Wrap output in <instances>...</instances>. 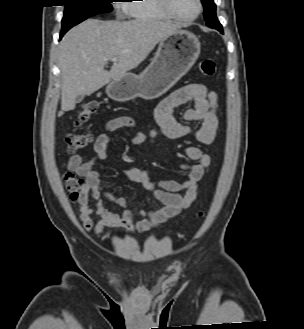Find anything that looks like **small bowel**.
I'll list each match as a JSON object with an SVG mask.
<instances>
[{
	"label": "small bowel",
	"instance_id": "1",
	"mask_svg": "<svg viewBox=\"0 0 304 329\" xmlns=\"http://www.w3.org/2000/svg\"><path fill=\"white\" fill-rule=\"evenodd\" d=\"M188 102H193L194 105L184 112L183 120L200 122L201 125L198 128H192L178 121L173 115L175 107ZM154 115L159 129L152 131L149 135L138 132L129 136L133 144H152L158 132H161L169 138L191 137L200 144L208 145L214 141L218 128L217 94L205 85L189 84L164 98L156 107ZM133 126L134 122L129 117L110 120L106 124L107 132L96 139L95 155L92 158L83 161L79 155H72L69 160V168L85 178L77 200L80 221L86 230H93L97 237L103 234L105 228L120 227L133 234L148 231L173 218L195 200L204 171L211 163L208 154L196 146H189L185 152L191 162L180 165L187 175L185 180L163 179L158 183H153L147 169L127 168L125 174L142 184L163 205L158 209L130 210L123 196L105 189L101 182V174L95 169V165L107 157V147L111 141L110 133L130 129ZM104 200L116 204L122 209V213L119 214L106 208L103 204ZM90 201L94 202L93 207ZM93 212L100 218L96 224L91 218Z\"/></svg>",
	"mask_w": 304,
	"mask_h": 329
}]
</instances>
